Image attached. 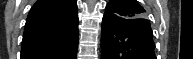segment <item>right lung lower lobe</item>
<instances>
[{"instance_id":"1","label":"right lung lower lobe","mask_w":193,"mask_h":59,"mask_svg":"<svg viewBox=\"0 0 193 59\" xmlns=\"http://www.w3.org/2000/svg\"><path fill=\"white\" fill-rule=\"evenodd\" d=\"M77 47L78 34L51 51L21 54L20 59H76Z\"/></svg>"}]
</instances>
